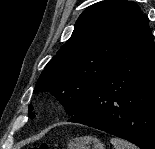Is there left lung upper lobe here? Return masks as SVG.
I'll list each match as a JSON object with an SVG mask.
<instances>
[{"label": "left lung upper lobe", "mask_w": 155, "mask_h": 149, "mask_svg": "<svg viewBox=\"0 0 155 149\" xmlns=\"http://www.w3.org/2000/svg\"><path fill=\"white\" fill-rule=\"evenodd\" d=\"M143 15L132 1L106 0L88 7L77 19L72 36L45 66L34 93H50L72 117L85 105L91 88L108 71ZM32 110L30 106L31 119Z\"/></svg>", "instance_id": "1"}]
</instances>
